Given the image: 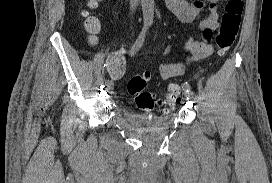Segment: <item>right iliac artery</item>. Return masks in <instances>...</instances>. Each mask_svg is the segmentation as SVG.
<instances>
[{
    "label": "right iliac artery",
    "mask_w": 272,
    "mask_h": 183,
    "mask_svg": "<svg viewBox=\"0 0 272 183\" xmlns=\"http://www.w3.org/2000/svg\"><path fill=\"white\" fill-rule=\"evenodd\" d=\"M147 28H148L147 25L143 26L142 31L140 32L138 38L136 39L135 43L131 47V50H130L131 55H134L141 48L145 39ZM106 82H109V80H107Z\"/></svg>",
    "instance_id": "right-iliac-artery-1"
}]
</instances>
